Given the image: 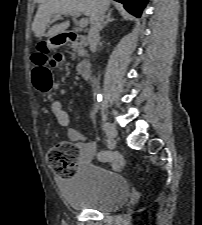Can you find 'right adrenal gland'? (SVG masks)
Returning a JSON list of instances; mask_svg holds the SVG:
<instances>
[{"label": "right adrenal gland", "instance_id": "obj_1", "mask_svg": "<svg viewBox=\"0 0 202 225\" xmlns=\"http://www.w3.org/2000/svg\"><path fill=\"white\" fill-rule=\"evenodd\" d=\"M112 14V10H109L106 17H105V21H103L102 25L99 28V31H101L102 29H104V27H106V25L110 22H113L115 19L111 17Z\"/></svg>", "mask_w": 202, "mask_h": 225}]
</instances>
